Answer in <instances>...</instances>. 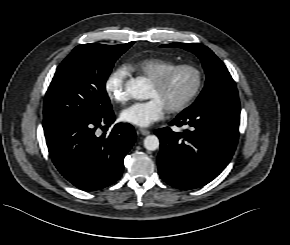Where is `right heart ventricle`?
<instances>
[{
	"label": "right heart ventricle",
	"mask_w": 290,
	"mask_h": 245,
	"mask_svg": "<svg viewBox=\"0 0 290 245\" xmlns=\"http://www.w3.org/2000/svg\"><path fill=\"white\" fill-rule=\"evenodd\" d=\"M175 64L176 63L171 60L150 57L129 61L126 64V69L128 71H133L138 74L144 75L150 80H153Z\"/></svg>",
	"instance_id": "1"
}]
</instances>
